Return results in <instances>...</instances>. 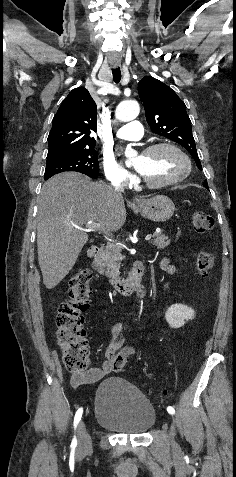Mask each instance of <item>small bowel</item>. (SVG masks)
<instances>
[{
	"label": "small bowel",
	"instance_id": "1",
	"mask_svg": "<svg viewBox=\"0 0 236 477\" xmlns=\"http://www.w3.org/2000/svg\"><path fill=\"white\" fill-rule=\"evenodd\" d=\"M163 263L167 268L169 267V262L167 259H164ZM122 329L123 325L121 323H116L112 326L110 331L111 339L105 350L106 360L100 367L91 368L85 372L73 374V384L81 385L95 383L112 372L111 362L117 355L122 354L127 357V355L130 353V349L127 347L122 348V342L119 338Z\"/></svg>",
	"mask_w": 236,
	"mask_h": 477
}]
</instances>
